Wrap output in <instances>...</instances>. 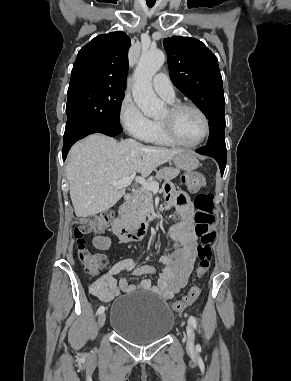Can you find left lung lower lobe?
Returning <instances> with one entry per match:
<instances>
[{
  "label": "left lung lower lobe",
  "mask_w": 291,
  "mask_h": 381,
  "mask_svg": "<svg viewBox=\"0 0 291 381\" xmlns=\"http://www.w3.org/2000/svg\"><path fill=\"white\" fill-rule=\"evenodd\" d=\"M197 153L213 157L219 164L221 174L223 175L226 166V145L225 143L213 144L197 149Z\"/></svg>",
  "instance_id": "1"
}]
</instances>
